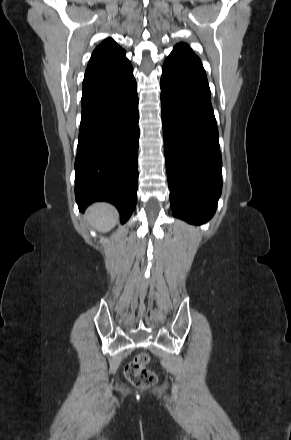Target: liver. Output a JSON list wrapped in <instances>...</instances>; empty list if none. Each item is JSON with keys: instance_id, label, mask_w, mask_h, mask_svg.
I'll list each match as a JSON object with an SVG mask.
<instances>
[{"instance_id": "1", "label": "liver", "mask_w": 291, "mask_h": 440, "mask_svg": "<svg viewBox=\"0 0 291 440\" xmlns=\"http://www.w3.org/2000/svg\"><path fill=\"white\" fill-rule=\"evenodd\" d=\"M117 211L108 203H95L88 209L87 221L98 231L108 232L117 223Z\"/></svg>"}]
</instances>
